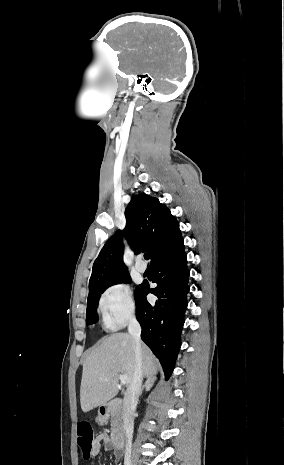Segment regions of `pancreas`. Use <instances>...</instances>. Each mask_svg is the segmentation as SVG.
<instances>
[{"mask_svg": "<svg viewBox=\"0 0 284 465\" xmlns=\"http://www.w3.org/2000/svg\"><path fill=\"white\" fill-rule=\"evenodd\" d=\"M121 421L120 413H111V431L115 433L116 429H119Z\"/></svg>", "mask_w": 284, "mask_h": 465, "instance_id": "pancreas-1", "label": "pancreas"}]
</instances>
